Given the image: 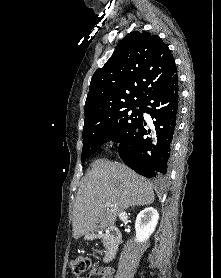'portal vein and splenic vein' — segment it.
Listing matches in <instances>:
<instances>
[{"instance_id": "18ae733b", "label": "portal vein and splenic vein", "mask_w": 221, "mask_h": 278, "mask_svg": "<svg viewBox=\"0 0 221 278\" xmlns=\"http://www.w3.org/2000/svg\"><path fill=\"white\" fill-rule=\"evenodd\" d=\"M110 205L109 204H106V207H109Z\"/></svg>"}]
</instances>
